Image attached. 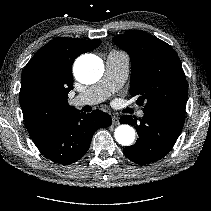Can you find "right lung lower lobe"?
<instances>
[{
  "label": "right lung lower lobe",
  "mask_w": 211,
  "mask_h": 211,
  "mask_svg": "<svg viewBox=\"0 0 211 211\" xmlns=\"http://www.w3.org/2000/svg\"><path fill=\"white\" fill-rule=\"evenodd\" d=\"M111 123V116L101 110L86 114L76 109L33 142L51 161L71 164L85 155L94 132L100 127L110 126Z\"/></svg>",
  "instance_id": "1"
}]
</instances>
